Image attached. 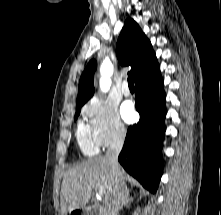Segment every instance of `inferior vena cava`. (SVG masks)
Returning <instances> with one entry per match:
<instances>
[{"label": "inferior vena cava", "instance_id": "1", "mask_svg": "<svg viewBox=\"0 0 221 215\" xmlns=\"http://www.w3.org/2000/svg\"><path fill=\"white\" fill-rule=\"evenodd\" d=\"M124 137L125 134L122 132L106 153V158L111 165V171L115 178V187L111 198L104 205L103 215H117L127 192L122 177V170L118 163V155L123 147Z\"/></svg>", "mask_w": 221, "mask_h": 215}]
</instances>
